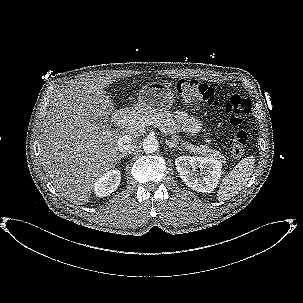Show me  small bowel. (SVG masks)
Returning a JSON list of instances; mask_svg holds the SVG:
<instances>
[{"instance_id": "obj_1", "label": "small bowel", "mask_w": 303, "mask_h": 303, "mask_svg": "<svg viewBox=\"0 0 303 303\" xmlns=\"http://www.w3.org/2000/svg\"><path fill=\"white\" fill-rule=\"evenodd\" d=\"M176 120L183 132L189 135H196L201 129V121L199 118L189 115L184 111L176 113Z\"/></svg>"}]
</instances>
